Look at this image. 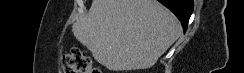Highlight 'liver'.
Segmentation results:
<instances>
[{
  "mask_svg": "<svg viewBox=\"0 0 244 73\" xmlns=\"http://www.w3.org/2000/svg\"><path fill=\"white\" fill-rule=\"evenodd\" d=\"M72 32L96 61L123 71L153 66L179 38L181 25L156 0H93Z\"/></svg>",
  "mask_w": 244,
  "mask_h": 73,
  "instance_id": "1",
  "label": "liver"
}]
</instances>
